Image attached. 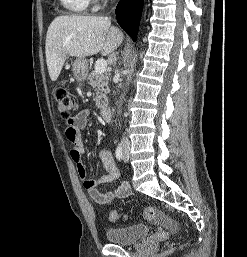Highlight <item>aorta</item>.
<instances>
[{
	"label": "aorta",
	"instance_id": "obj_1",
	"mask_svg": "<svg viewBox=\"0 0 247 257\" xmlns=\"http://www.w3.org/2000/svg\"><path fill=\"white\" fill-rule=\"evenodd\" d=\"M136 61H137V55H134L133 61L131 62V69L128 70V73H129V76L127 77L128 80L131 77L132 72L134 71V66L136 64ZM120 106H121V104L119 105V108H120Z\"/></svg>",
	"mask_w": 247,
	"mask_h": 257
}]
</instances>
